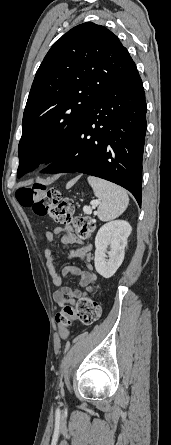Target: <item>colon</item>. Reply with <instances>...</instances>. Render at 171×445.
I'll return each instance as SVG.
<instances>
[{"label": "colon", "mask_w": 171, "mask_h": 445, "mask_svg": "<svg viewBox=\"0 0 171 445\" xmlns=\"http://www.w3.org/2000/svg\"><path fill=\"white\" fill-rule=\"evenodd\" d=\"M19 204L30 208L37 216H49L56 223L71 227L80 239H89L94 230V223L89 216H76L74 202L63 197L55 189L43 186L22 187L16 193ZM101 307L91 297H81L76 307L65 306L57 312L55 319L60 328H67L72 319H78L83 325L90 326L101 317Z\"/></svg>", "instance_id": "colon-1"}]
</instances>
